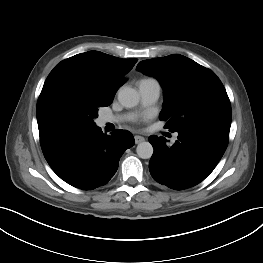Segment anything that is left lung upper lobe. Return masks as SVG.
Listing matches in <instances>:
<instances>
[{
    "mask_svg": "<svg viewBox=\"0 0 263 263\" xmlns=\"http://www.w3.org/2000/svg\"><path fill=\"white\" fill-rule=\"evenodd\" d=\"M136 70L158 79L164 89L159 119L175 132L204 123L230 129L231 105L219 78L195 61L173 54L139 62Z\"/></svg>",
    "mask_w": 263,
    "mask_h": 263,
    "instance_id": "obj_1",
    "label": "left lung upper lobe"
}]
</instances>
